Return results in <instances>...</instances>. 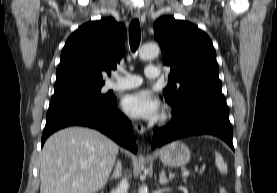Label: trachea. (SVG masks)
Masks as SVG:
<instances>
[{"label": "trachea", "mask_w": 277, "mask_h": 193, "mask_svg": "<svg viewBox=\"0 0 277 193\" xmlns=\"http://www.w3.org/2000/svg\"><path fill=\"white\" fill-rule=\"evenodd\" d=\"M141 41L140 24L137 19L131 21L129 26V43L131 50L135 52Z\"/></svg>", "instance_id": "trachea-1"}]
</instances>
